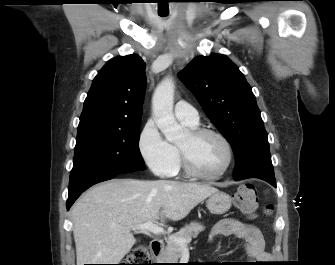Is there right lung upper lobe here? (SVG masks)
I'll use <instances>...</instances> for the list:
<instances>
[{
    "mask_svg": "<svg viewBox=\"0 0 335 265\" xmlns=\"http://www.w3.org/2000/svg\"><path fill=\"white\" fill-rule=\"evenodd\" d=\"M145 88V63L140 56L111 59L92 82L78 131L120 128L141 121Z\"/></svg>",
    "mask_w": 335,
    "mask_h": 265,
    "instance_id": "right-lung-upper-lobe-1",
    "label": "right lung upper lobe"
}]
</instances>
